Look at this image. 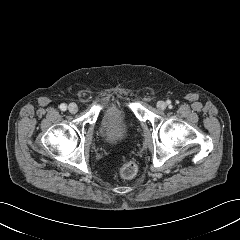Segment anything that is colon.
<instances>
[{
    "label": "colon",
    "instance_id": "5ec220e1",
    "mask_svg": "<svg viewBox=\"0 0 240 240\" xmlns=\"http://www.w3.org/2000/svg\"><path fill=\"white\" fill-rule=\"evenodd\" d=\"M137 165L132 161L122 163L119 174L123 179H132L137 174Z\"/></svg>",
    "mask_w": 240,
    "mask_h": 240
}]
</instances>
